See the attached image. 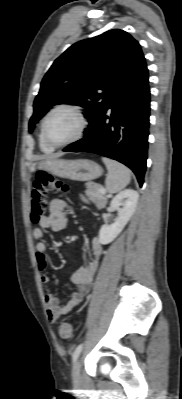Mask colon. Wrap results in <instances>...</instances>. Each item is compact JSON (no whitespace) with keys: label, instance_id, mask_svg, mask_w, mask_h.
<instances>
[{"label":"colon","instance_id":"5ec220e1","mask_svg":"<svg viewBox=\"0 0 182 399\" xmlns=\"http://www.w3.org/2000/svg\"><path fill=\"white\" fill-rule=\"evenodd\" d=\"M50 191L66 195L68 186L46 172H37L31 191V220L35 224L40 222L47 212V194ZM58 333L62 339H71L73 336L72 325L69 322H61L58 325Z\"/></svg>","mask_w":182,"mask_h":399}]
</instances>
